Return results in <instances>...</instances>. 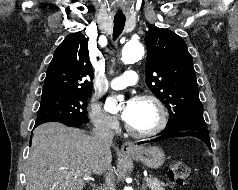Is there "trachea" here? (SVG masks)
<instances>
[{
	"mask_svg": "<svg viewBox=\"0 0 238 190\" xmlns=\"http://www.w3.org/2000/svg\"><path fill=\"white\" fill-rule=\"evenodd\" d=\"M125 18H114L113 40H116L122 33L125 26Z\"/></svg>",
	"mask_w": 238,
	"mask_h": 190,
	"instance_id": "3493384b",
	"label": "trachea"
}]
</instances>
